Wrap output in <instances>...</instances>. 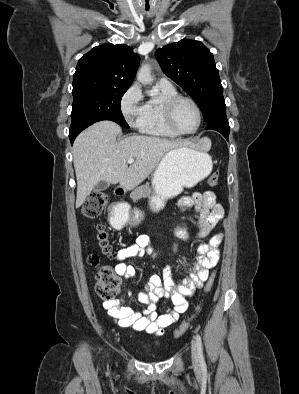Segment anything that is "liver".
Segmentation results:
<instances>
[{
    "label": "liver",
    "mask_w": 299,
    "mask_h": 394,
    "mask_svg": "<svg viewBox=\"0 0 299 394\" xmlns=\"http://www.w3.org/2000/svg\"><path fill=\"white\" fill-rule=\"evenodd\" d=\"M121 128L112 121H99L78 135L73 145L77 179L76 208H79L99 181L119 183L125 190L142 183L172 149L186 146L183 141L132 135L116 140ZM135 162L129 167L127 160Z\"/></svg>",
    "instance_id": "liver-1"
}]
</instances>
